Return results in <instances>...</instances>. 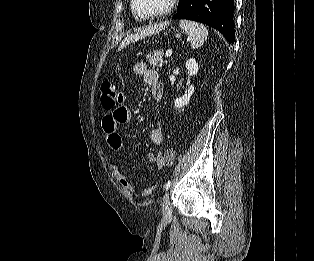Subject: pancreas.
Instances as JSON below:
<instances>
[{"mask_svg": "<svg viewBox=\"0 0 314 261\" xmlns=\"http://www.w3.org/2000/svg\"><path fill=\"white\" fill-rule=\"evenodd\" d=\"M163 51L158 50V51H153L151 54L147 55L146 58L149 62V64L153 67H162L163 63H167V61H163Z\"/></svg>", "mask_w": 314, "mask_h": 261, "instance_id": "obj_1", "label": "pancreas"}]
</instances>
